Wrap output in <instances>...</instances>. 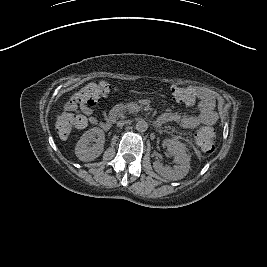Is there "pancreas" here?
I'll return each mask as SVG.
<instances>
[{"label":"pancreas","mask_w":267,"mask_h":267,"mask_svg":"<svg viewBox=\"0 0 267 267\" xmlns=\"http://www.w3.org/2000/svg\"><path fill=\"white\" fill-rule=\"evenodd\" d=\"M127 110H128V111H131V112H132V111H135V109H134V106H133V105H130V106H128V107H127Z\"/></svg>","instance_id":"1"}]
</instances>
